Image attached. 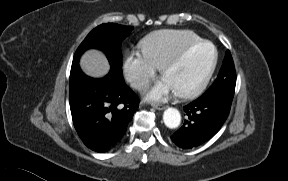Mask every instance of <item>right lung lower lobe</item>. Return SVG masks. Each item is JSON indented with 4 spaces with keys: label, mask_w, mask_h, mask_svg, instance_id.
Instances as JSON below:
<instances>
[{
    "label": "right lung lower lobe",
    "mask_w": 288,
    "mask_h": 181,
    "mask_svg": "<svg viewBox=\"0 0 288 181\" xmlns=\"http://www.w3.org/2000/svg\"><path fill=\"white\" fill-rule=\"evenodd\" d=\"M70 109L74 127L83 143L93 151L116 147L138 109L134 92L123 76L112 71L104 78L86 76L79 67L70 73Z\"/></svg>",
    "instance_id": "98d812e1"
}]
</instances>
